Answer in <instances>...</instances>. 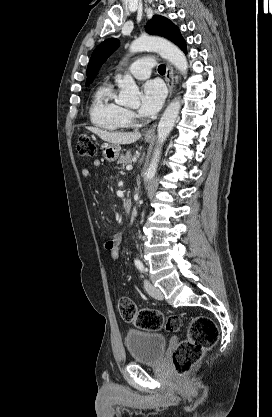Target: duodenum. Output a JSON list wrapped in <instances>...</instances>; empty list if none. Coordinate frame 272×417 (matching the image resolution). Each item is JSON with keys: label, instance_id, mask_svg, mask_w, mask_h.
I'll return each instance as SVG.
<instances>
[{"label": "duodenum", "instance_id": "duodenum-1", "mask_svg": "<svg viewBox=\"0 0 272 417\" xmlns=\"http://www.w3.org/2000/svg\"><path fill=\"white\" fill-rule=\"evenodd\" d=\"M123 209L125 212H130L132 209V200L130 198H126L123 201Z\"/></svg>", "mask_w": 272, "mask_h": 417}]
</instances>
